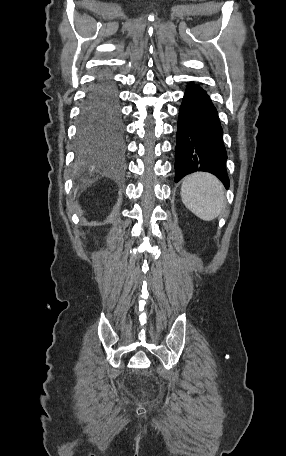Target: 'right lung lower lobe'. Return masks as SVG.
<instances>
[{
  "label": "right lung lower lobe",
  "mask_w": 286,
  "mask_h": 456,
  "mask_svg": "<svg viewBox=\"0 0 286 456\" xmlns=\"http://www.w3.org/2000/svg\"><path fill=\"white\" fill-rule=\"evenodd\" d=\"M87 121H95L105 127L120 126L119 132L107 129L106 133L120 135L123 131L118 91L106 72L99 74L95 85L90 89L84 101L80 123Z\"/></svg>",
  "instance_id": "right-lung-lower-lobe-1"
}]
</instances>
